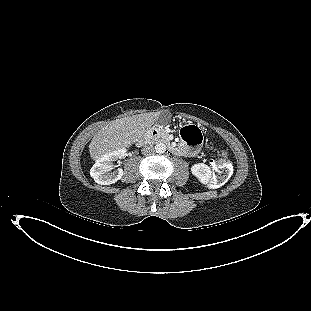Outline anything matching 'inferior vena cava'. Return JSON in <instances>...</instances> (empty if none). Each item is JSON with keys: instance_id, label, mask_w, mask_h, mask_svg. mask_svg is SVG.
I'll return each mask as SVG.
<instances>
[{"instance_id": "602c4592", "label": "inferior vena cava", "mask_w": 311, "mask_h": 311, "mask_svg": "<svg viewBox=\"0 0 311 311\" xmlns=\"http://www.w3.org/2000/svg\"><path fill=\"white\" fill-rule=\"evenodd\" d=\"M141 151H142V154L148 155V154H153L155 152V149L153 148L152 145H145Z\"/></svg>"}]
</instances>
